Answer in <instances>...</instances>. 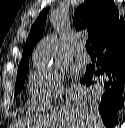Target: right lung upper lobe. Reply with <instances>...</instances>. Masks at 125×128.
Here are the masks:
<instances>
[{
  "label": "right lung upper lobe",
  "instance_id": "obj_1",
  "mask_svg": "<svg viewBox=\"0 0 125 128\" xmlns=\"http://www.w3.org/2000/svg\"><path fill=\"white\" fill-rule=\"evenodd\" d=\"M48 10L47 8L40 13L31 28L23 49L18 72L29 68V54L44 31ZM123 22V18L118 17V9L113 0H86L83 5L77 8L74 14L76 29L88 28V37L92 46Z\"/></svg>",
  "mask_w": 125,
  "mask_h": 128
}]
</instances>
